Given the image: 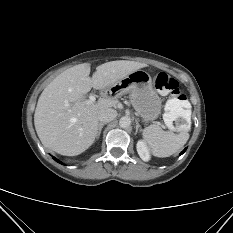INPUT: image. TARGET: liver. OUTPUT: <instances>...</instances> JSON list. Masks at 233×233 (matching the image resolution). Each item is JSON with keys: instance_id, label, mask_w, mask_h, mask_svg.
Here are the masks:
<instances>
[{"instance_id": "6515ba94", "label": "liver", "mask_w": 233, "mask_h": 233, "mask_svg": "<svg viewBox=\"0 0 233 233\" xmlns=\"http://www.w3.org/2000/svg\"><path fill=\"white\" fill-rule=\"evenodd\" d=\"M147 64L127 60L110 61L96 67L92 78L90 64L73 66L59 74L41 93L34 114L39 139L46 147L65 156H76L95 141L101 110L115 107L113 97L88 104L85 95L93 88L103 90Z\"/></svg>"}]
</instances>
